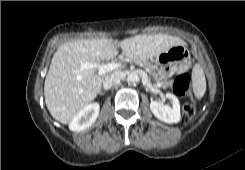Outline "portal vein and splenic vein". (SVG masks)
Here are the masks:
<instances>
[{"label": "portal vein and splenic vein", "mask_w": 245, "mask_h": 170, "mask_svg": "<svg viewBox=\"0 0 245 170\" xmlns=\"http://www.w3.org/2000/svg\"><path fill=\"white\" fill-rule=\"evenodd\" d=\"M121 64L119 63H108V64H101V63H91V62H83L81 63L82 69H98L99 74H104L109 71L115 70L120 67Z\"/></svg>", "instance_id": "portal-vein-and-splenic-vein-1"}]
</instances>
